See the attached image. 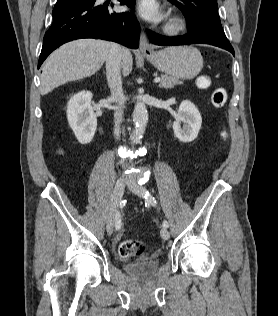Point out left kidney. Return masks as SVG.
Wrapping results in <instances>:
<instances>
[{
	"label": "left kidney",
	"mask_w": 278,
	"mask_h": 316,
	"mask_svg": "<svg viewBox=\"0 0 278 316\" xmlns=\"http://www.w3.org/2000/svg\"><path fill=\"white\" fill-rule=\"evenodd\" d=\"M201 124L202 117L197 107L188 100L182 101L173 123L175 136L182 142H191L197 138Z\"/></svg>",
	"instance_id": "1"
}]
</instances>
